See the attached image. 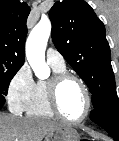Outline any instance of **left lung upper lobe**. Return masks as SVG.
Masks as SVG:
<instances>
[{"instance_id":"1","label":"left lung upper lobe","mask_w":119,"mask_h":141,"mask_svg":"<svg viewBox=\"0 0 119 141\" xmlns=\"http://www.w3.org/2000/svg\"><path fill=\"white\" fill-rule=\"evenodd\" d=\"M57 50L84 80L94 108L116 97L105 27L83 0L56 2L49 13Z\"/></svg>"}]
</instances>
